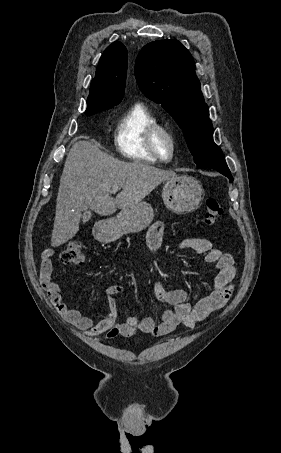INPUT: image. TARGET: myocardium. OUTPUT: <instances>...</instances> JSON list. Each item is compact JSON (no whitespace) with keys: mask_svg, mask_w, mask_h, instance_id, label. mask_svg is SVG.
Wrapping results in <instances>:
<instances>
[{"mask_svg":"<svg viewBox=\"0 0 281 453\" xmlns=\"http://www.w3.org/2000/svg\"><path fill=\"white\" fill-rule=\"evenodd\" d=\"M166 140L169 144V156L165 157L161 151V142ZM148 147L151 153L164 163L171 162L177 149V139L173 131L160 123L153 126L148 133Z\"/></svg>","mask_w":281,"mask_h":453,"instance_id":"obj_1","label":"myocardium"}]
</instances>
